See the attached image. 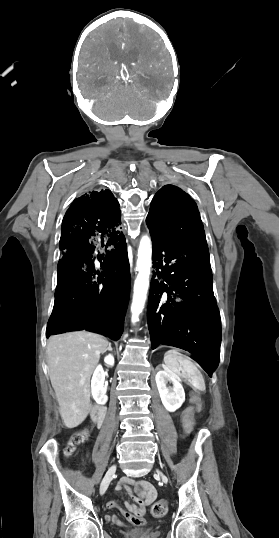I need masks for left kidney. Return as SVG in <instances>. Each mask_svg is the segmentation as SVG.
Instances as JSON below:
<instances>
[{"label": "left kidney", "mask_w": 279, "mask_h": 538, "mask_svg": "<svg viewBox=\"0 0 279 538\" xmlns=\"http://www.w3.org/2000/svg\"><path fill=\"white\" fill-rule=\"evenodd\" d=\"M155 380L161 402L166 410L175 412V410L181 408L183 402H185V392L177 374L169 370V368H163V370L157 372ZM168 382H172L173 388H167Z\"/></svg>", "instance_id": "obj_1"}]
</instances>
